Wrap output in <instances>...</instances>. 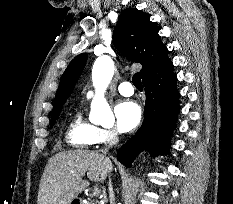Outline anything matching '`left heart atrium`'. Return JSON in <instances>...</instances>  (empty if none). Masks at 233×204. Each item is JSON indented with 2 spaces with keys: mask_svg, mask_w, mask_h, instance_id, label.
<instances>
[{
  "mask_svg": "<svg viewBox=\"0 0 233 204\" xmlns=\"http://www.w3.org/2000/svg\"><path fill=\"white\" fill-rule=\"evenodd\" d=\"M117 128L120 132H129L138 126L142 118L140 106L130 100L119 102L115 109Z\"/></svg>",
  "mask_w": 233,
  "mask_h": 204,
  "instance_id": "left-heart-atrium-1",
  "label": "left heart atrium"
}]
</instances>
